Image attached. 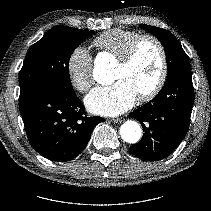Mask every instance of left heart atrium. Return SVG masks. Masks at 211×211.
Segmentation results:
<instances>
[{
    "instance_id": "39dd6f15",
    "label": "left heart atrium",
    "mask_w": 211,
    "mask_h": 211,
    "mask_svg": "<svg viewBox=\"0 0 211 211\" xmlns=\"http://www.w3.org/2000/svg\"><path fill=\"white\" fill-rule=\"evenodd\" d=\"M137 92L126 80L94 88L85 98L88 110L103 116H116L130 109L137 100Z\"/></svg>"
}]
</instances>
